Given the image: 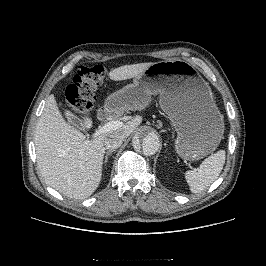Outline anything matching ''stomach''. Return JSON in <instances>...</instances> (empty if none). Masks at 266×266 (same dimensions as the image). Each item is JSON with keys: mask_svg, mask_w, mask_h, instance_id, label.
Returning <instances> with one entry per match:
<instances>
[{"mask_svg": "<svg viewBox=\"0 0 266 266\" xmlns=\"http://www.w3.org/2000/svg\"><path fill=\"white\" fill-rule=\"evenodd\" d=\"M155 94L177 132L175 150L181 158L197 161L217 148L224 132L223 117L208 83L186 61L151 64L132 84L111 94L106 107L143 109Z\"/></svg>", "mask_w": 266, "mask_h": 266, "instance_id": "obj_1", "label": "stomach"}]
</instances>
